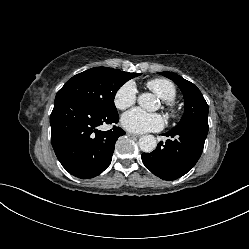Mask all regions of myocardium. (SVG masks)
Returning a JSON list of instances; mask_svg holds the SVG:
<instances>
[{"instance_id":"f54148a6","label":"myocardium","mask_w":249,"mask_h":249,"mask_svg":"<svg viewBox=\"0 0 249 249\" xmlns=\"http://www.w3.org/2000/svg\"><path fill=\"white\" fill-rule=\"evenodd\" d=\"M164 108L167 111V114L170 118L176 119L178 117V110L171 101H164Z\"/></svg>"}]
</instances>
